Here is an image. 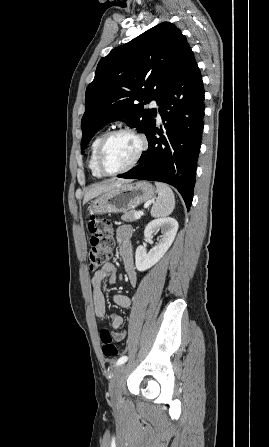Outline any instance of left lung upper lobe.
Segmentation results:
<instances>
[{
    "mask_svg": "<svg viewBox=\"0 0 269 447\" xmlns=\"http://www.w3.org/2000/svg\"><path fill=\"white\" fill-rule=\"evenodd\" d=\"M189 48L181 31L163 22L101 58L86 89L81 150L116 119L146 134L156 110L144 106L152 100L159 104Z\"/></svg>",
    "mask_w": 269,
    "mask_h": 447,
    "instance_id": "obj_1",
    "label": "left lung upper lobe"
}]
</instances>
